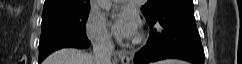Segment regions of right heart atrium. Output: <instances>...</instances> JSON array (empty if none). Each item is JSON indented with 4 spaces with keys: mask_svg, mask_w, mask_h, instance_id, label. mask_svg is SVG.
Here are the masks:
<instances>
[{
    "mask_svg": "<svg viewBox=\"0 0 242 64\" xmlns=\"http://www.w3.org/2000/svg\"><path fill=\"white\" fill-rule=\"evenodd\" d=\"M85 30L87 36L96 44L105 45L110 43L111 37L105 20L95 14L90 13L86 20Z\"/></svg>",
    "mask_w": 242,
    "mask_h": 64,
    "instance_id": "d8ad5b80",
    "label": "right heart atrium"
}]
</instances>
